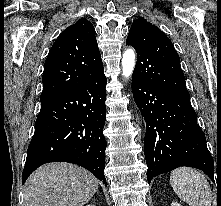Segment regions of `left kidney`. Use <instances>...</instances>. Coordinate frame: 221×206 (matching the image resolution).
Segmentation results:
<instances>
[{"label":"left kidney","mask_w":221,"mask_h":206,"mask_svg":"<svg viewBox=\"0 0 221 206\" xmlns=\"http://www.w3.org/2000/svg\"><path fill=\"white\" fill-rule=\"evenodd\" d=\"M171 206H182V205L179 204V203H177V202H173V203L171 204Z\"/></svg>","instance_id":"1"}]
</instances>
